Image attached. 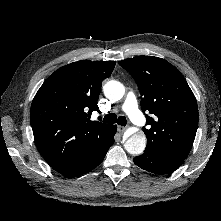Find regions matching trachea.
<instances>
[{"label": "trachea", "mask_w": 221, "mask_h": 221, "mask_svg": "<svg viewBox=\"0 0 221 221\" xmlns=\"http://www.w3.org/2000/svg\"><path fill=\"white\" fill-rule=\"evenodd\" d=\"M103 122H105V123H117L121 126H126V124H127V120L124 116H119L117 118V116L113 113L106 115L103 119Z\"/></svg>", "instance_id": "trachea-1"}]
</instances>
